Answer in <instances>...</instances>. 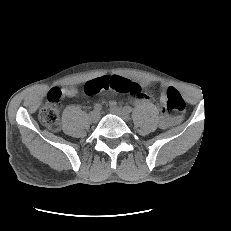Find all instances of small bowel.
<instances>
[{
    "label": "small bowel",
    "instance_id": "obj_1",
    "mask_svg": "<svg viewBox=\"0 0 231 231\" xmlns=\"http://www.w3.org/2000/svg\"><path fill=\"white\" fill-rule=\"evenodd\" d=\"M137 85L141 88V86L139 84H137ZM164 89H165V87H163V90ZM76 95H77V90L74 88L61 90V97L62 98H73ZM132 97H133V101L135 103L152 100L151 96L148 93L143 92L142 90H140V92L138 94L133 95ZM175 122H176V120L173 118H166L165 120L162 121L161 125H162V127H169L172 124H174Z\"/></svg>",
    "mask_w": 231,
    "mask_h": 231
}]
</instances>
